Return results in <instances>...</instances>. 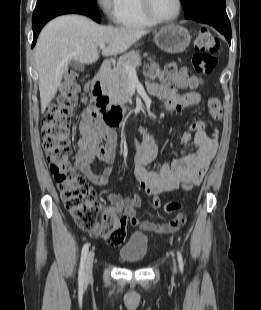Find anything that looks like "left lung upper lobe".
Returning <instances> with one entry per match:
<instances>
[{
    "mask_svg": "<svg viewBox=\"0 0 261 310\" xmlns=\"http://www.w3.org/2000/svg\"><path fill=\"white\" fill-rule=\"evenodd\" d=\"M186 19H228L225 0H181Z\"/></svg>",
    "mask_w": 261,
    "mask_h": 310,
    "instance_id": "left-lung-upper-lobe-1",
    "label": "left lung upper lobe"
}]
</instances>
